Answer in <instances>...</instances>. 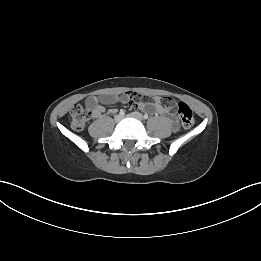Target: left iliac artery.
Returning <instances> with one entry per match:
<instances>
[{"instance_id": "obj_1", "label": "left iliac artery", "mask_w": 261, "mask_h": 261, "mask_svg": "<svg viewBox=\"0 0 261 261\" xmlns=\"http://www.w3.org/2000/svg\"><path fill=\"white\" fill-rule=\"evenodd\" d=\"M148 117H149V116H148L147 114H145V115L143 116L144 119H148Z\"/></svg>"}]
</instances>
